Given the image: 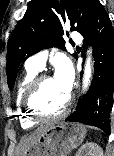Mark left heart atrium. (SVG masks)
Returning a JSON list of instances; mask_svg holds the SVG:
<instances>
[{"mask_svg": "<svg viewBox=\"0 0 114 156\" xmlns=\"http://www.w3.org/2000/svg\"><path fill=\"white\" fill-rule=\"evenodd\" d=\"M53 78L60 90L69 95L74 81V71L71 62L67 59L58 61Z\"/></svg>", "mask_w": 114, "mask_h": 156, "instance_id": "obj_1", "label": "left heart atrium"}]
</instances>
